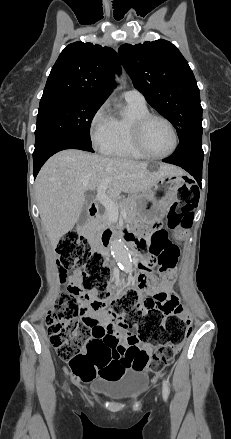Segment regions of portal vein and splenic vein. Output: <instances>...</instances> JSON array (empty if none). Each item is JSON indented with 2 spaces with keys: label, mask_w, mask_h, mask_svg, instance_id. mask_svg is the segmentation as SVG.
I'll list each match as a JSON object with an SVG mask.
<instances>
[{
  "label": "portal vein and splenic vein",
  "mask_w": 231,
  "mask_h": 439,
  "mask_svg": "<svg viewBox=\"0 0 231 439\" xmlns=\"http://www.w3.org/2000/svg\"><path fill=\"white\" fill-rule=\"evenodd\" d=\"M111 181V178H107L103 184H101L97 190V200L106 208L109 216L113 219H117L119 215L118 205L105 194L107 183ZM123 216H126V212L123 211Z\"/></svg>",
  "instance_id": "1"
}]
</instances>
